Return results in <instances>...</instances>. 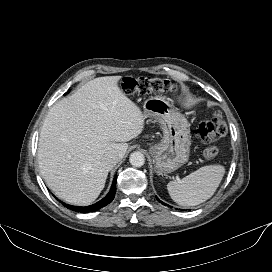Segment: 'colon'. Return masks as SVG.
<instances>
[{
    "mask_svg": "<svg viewBox=\"0 0 272 272\" xmlns=\"http://www.w3.org/2000/svg\"><path fill=\"white\" fill-rule=\"evenodd\" d=\"M122 90L128 94L147 95L150 93L171 94L177 87L169 80L151 77H127L121 85ZM227 125L220 112H215L213 117L198 125L196 135L205 143L214 142L226 134ZM219 154L214 145H209L204 150V157L211 161Z\"/></svg>",
    "mask_w": 272,
    "mask_h": 272,
    "instance_id": "5ec220e1",
    "label": "colon"
}]
</instances>
